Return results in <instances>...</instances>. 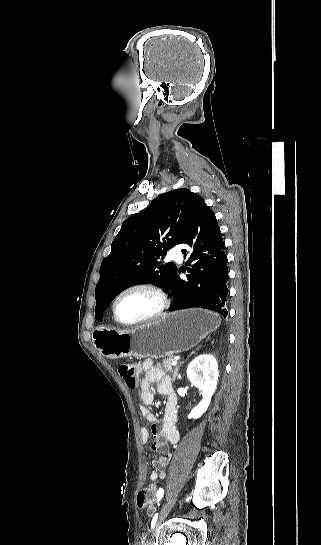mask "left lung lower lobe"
Returning <instances> with one entry per match:
<instances>
[{
    "label": "left lung lower lobe",
    "instance_id": "obj_1",
    "mask_svg": "<svg viewBox=\"0 0 321 545\" xmlns=\"http://www.w3.org/2000/svg\"><path fill=\"white\" fill-rule=\"evenodd\" d=\"M179 244H188L182 250L187 269V279H181L177 271L167 285L173 292L170 311L201 307L227 316L226 297L228 296V259L224 252L222 239L214 212L200 203L191 218Z\"/></svg>",
    "mask_w": 321,
    "mask_h": 545
}]
</instances>
